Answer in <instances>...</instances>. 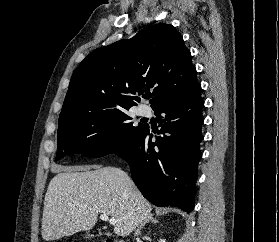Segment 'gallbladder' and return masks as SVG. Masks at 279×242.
I'll list each match as a JSON object with an SVG mask.
<instances>
[{
  "instance_id": "gallbladder-1",
  "label": "gallbladder",
  "mask_w": 279,
  "mask_h": 242,
  "mask_svg": "<svg viewBox=\"0 0 279 242\" xmlns=\"http://www.w3.org/2000/svg\"><path fill=\"white\" fill-rule=\"evenodd\" d=\"M93 237H94V235H92V234H89V233L86 234V238H93Z\"/></svg>"
}]
</instances>
